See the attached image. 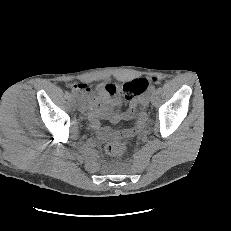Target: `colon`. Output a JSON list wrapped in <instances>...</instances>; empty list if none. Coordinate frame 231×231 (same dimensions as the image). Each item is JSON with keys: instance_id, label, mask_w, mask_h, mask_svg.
I'll return each instance as SVG.
<instances>
[{"instance_id": "colon-1", "label": "colon", "mask_w": 231, "mask_h": 231, "mask_svg": "<svg viewBox=\"0 0 231 231\" xmlns=\"http://www.w3.org/2000/svg\"><path fill=\"white\" fill-rule=\"evenodd\" d=\"M157 79L153 78L152 82H156ZM149 85V81L144 78L134 79L128 83H125L122 88V94L130 102V108L135 110L138 106V97L146 90ZM127 143L125 141L116 140L106 145L105 151L111 156H121L127 151Z\"/></svg>"}]
</instances>
